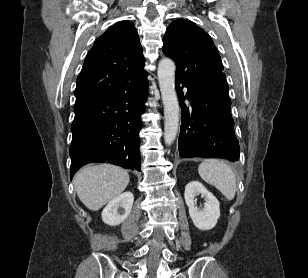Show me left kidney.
<instances>
[{
    "label": "left kidney",
    "mask_w": 308,
    "mask_h": 278,
    "mask_svg": "<svg viewBox=\"0 0 308 278\" xmlns=\"http://www.w3.org/2000/svg\"><path fill=\"white\" fill-rule=\"evenodd\" d=\"M199 194L206 201L203 209H199L194 200ZM184 198L193 224L203 231L213 229L220 217V204L217 198L198 181H192L186 185Z\"/></svg>",
    "instance_id": "5707ae66"
}]
</instances>
